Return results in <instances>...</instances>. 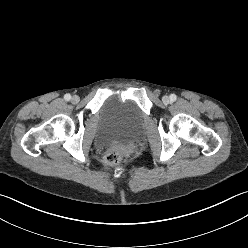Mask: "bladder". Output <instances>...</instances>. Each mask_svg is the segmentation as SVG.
<instances>
[{"mask_svg":"<svg viewBox=\"0 0 248 248\" xmlns=\"http://www.w3.org/2000/svg\"><path fill=\"white\" fill-rule=\"evenodd\" d=\"M143 121L144 113L132 99L111 95L97 113L96 143L127 145L135 139Z\"/></svg>","mask_w":248,"mask_h":248,"instance_id":"obj_1","label":"bladder"}]
</instances>
